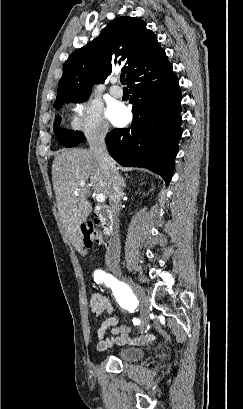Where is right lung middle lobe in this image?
Returning <instances> with one entry per match:
<instances>
[{"label": "right lung middle lobe", "instance_id": "dd1d6c3e", "mask_svg": "<svg viewBox=\"0 0 243 409\" xmlns=\"http://www.w3.org/2000/svg\"><path fill=\"white\" fill-rule=\"evenodd\" d=\"M87 99L84 100H80V101H75V103H79V102H83ZM65 102H60L58 104H55L54 107L56 109L61 108V106L64 104ZM66 103H70V101L66 102ZM60 122V118H56L55 120V125H54V133L55 135L61 140L59 143L65 147H74L77 146L78 144H80L81 142H83L85 140L84 135L81 132H68L66 130H63L61 128L58 127V124Z\"/></svg>", "mask_w": 243, "mask_h": 409}]
</instances>
